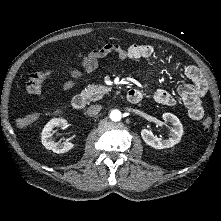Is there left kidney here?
Segmentation results:
<instances>
[{
  "instance_id": "left-kidney-1",
  "label": "left kidney",
  "mask_w": 221,
  "mask_h": 221,
  "mask_svg": "<svg viewBox=\"0 0 221 221\" xmlns=\"http://www.w3.org/2000/svg\"><path fill=\"white\" fill-rule=\"evenodd\" d=\"M164 121L169 122L172 127L170 128V137L168 139H161L155 136L151 131L142 129L141 137L144 142L155 148L164 149L170 148L180 142L183 135V126L180 120L172 113H164L162 115Z\"/></svg>"
}]
</instances>
